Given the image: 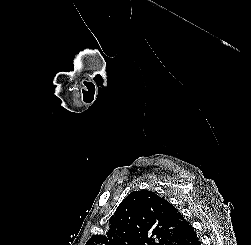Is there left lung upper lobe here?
I'll return each mask as SVG.
<instances>
[{
  "instance_id": "obj_1",
  "label": "left lung upper lobe",
  "mask_w": 251,
  "mask_h": 245,
  "mask_svg": "<svg viewBox=\"0 0 251 245\" xmlns=\"http://www.w3.org/2000/svg\"><path fill=\"white\" fill-rule=\"evenodd\" d=\"M106 234L86 245H168L188 221L177 208L152 191L130 193L109 219Z\"/></svg>"
}]
</instances>
